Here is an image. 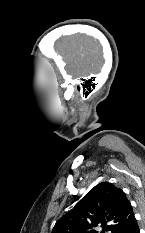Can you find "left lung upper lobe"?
I'll use <instances>...</instances> for the list:
<instances>
[{"label": "left lung upper lobe", "instance_id": "1", "mask_svg": "<svg viewBox=\"0 0 145 233\" xmlns=\"http://www.w3.org/2000/svg\"><path fill=\"white\" fill-rule=\"evenodd\" d=\"M136 221L125 193L108 182L93 187L75 207L61 217L52 233H128Z\"/></svg>", "mask_w": 145, "mask_h": 233}]
</instances>
